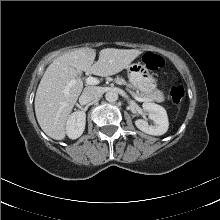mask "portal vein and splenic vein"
<instances>
[{
	"label": "portal vein and splenic vein",
	"instance_id": "obj_1",
	"mask_svg": "<svg viewBox=\"0 0 220 220\" xmlns=\"http://www.w3.org/2000/svg\"><path fill=\"white\" fill-rule=\"evenodd\" d=\"M99 80L95 77H88L86 78V83L89 84V85H95V84H99ZM75 82L74 81H71L69 84H68V87H71L72 85H74ZM132 97L138 101H150V99H145V98H141V97H138L137 95L135 94H132Z\"/></svg>",
	"mask_w": 220,
	"mask_h": 220
}]
</instances>
